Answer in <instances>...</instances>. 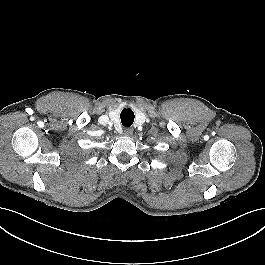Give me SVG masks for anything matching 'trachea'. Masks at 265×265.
<instances>
[{
	"label": "trachea",
	"mask_w": 265,
	"mask_h": 265,
	"mask_svg": "<svg viewBox=\"0 0 265 265\" xmlns=\"http://www.w3.org/2000/svg\"><path fill=\"white\" fill-rule=\"evenodd\" d=\"M134 117V113L130 108L123 109L120 114L122 125L125 127H130L134 122Z\"/></svg>",
	"instance_id": "1"
}]
</instances>
